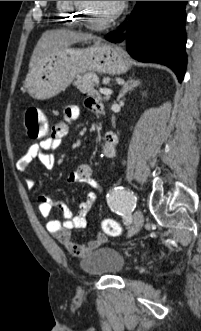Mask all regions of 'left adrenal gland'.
<instances>
[{
    "instance_id": "a2214340",
    "label": "left adrenal gland",
    "mask_w": 201,
    "mask_h": 331,
    "mask_svg": "<svg viewBox=\"0 0 201 331\" xmlns=\"http://www.w3.org/2000/svg\"><path fill=\"white\" fill-rule=\"evenodd\" d=\"M140 82L138 80H133L130 79L128 80L125 85L122 87V90L120 91L118 97H117V101H119L127 92L133 90L134 88H136L137 86H139Z\"/></svg>"
}]
</instances>
